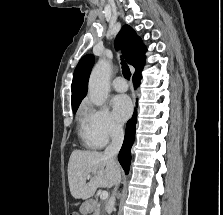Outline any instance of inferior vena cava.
Listing matches in <instances>:
<instances>
[{"mask_svg": "<svg viewBox=\"0 0 223 215\" xmlns=\"http://www.w3.org/2000/svg\"><path fill=\"white\" fill-rule=\"evenodd\" d=\"M111 139H112V141H111L110 145H108V147H106V149L104 151V157H110V159H112V161H114V163H116L115 155H117V153L122 145V141L124 139V131H123L122 127H114V129L111 133ZM115 177H116V179H115L114 191H113L110 199H108V203L106 205L108 213H111V211L115 205V193L117 191V187H118V185L120 183V179H121L119 169H118Z\"/></svg>", "mask_w": 223, "mask_h": 215, "instance_id": "inferior-vena-cava-1", "label": "inferior vena cava"}]
</instances>
